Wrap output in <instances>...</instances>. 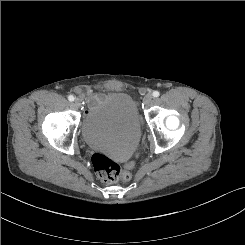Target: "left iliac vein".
Wrapping results in <instances>:
<instances>
[{"mask_svg":"<svg viewBox=\"0 0 245 245\" xmlns=\"http://www.w3.org/2000/svg\"><path fill=\"white\" fill-rule=\"evenodd\" d=\"M152 101V95L151 94H147L145 97H144V103L146 106H148Z\"/></svg>","mask_w":245,"mask_h":245,"instance_id":"4c4485c4","label":"left iliac vein"}]
</instances>
